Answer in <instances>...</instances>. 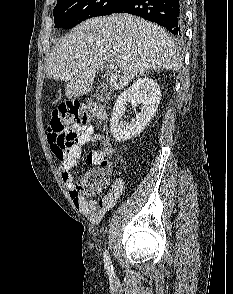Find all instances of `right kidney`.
<instances>
[{
    "label": "right kidney",
    "mask_w": 233,
    "mask_h": 294,
    "mask_svg": "<svg viewBox=\"0 0 233 294\" xmlns=\"http://www.w3.org/2000/svg\"><path fill=\"white\" fill-rule=\"evenodd\" d=\"M161 100V90L158 84L148 76L138 78L130 87L124 90L115 101L111 116V133L118 141H127L138 136L155 115ZM133 107L142 104L141 112L130 124L122 120L126 106Z\"/></svg>",
    "instance_id": "right-kidney-1"
}]
</instances>
